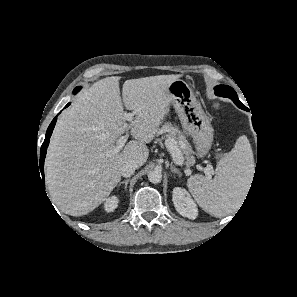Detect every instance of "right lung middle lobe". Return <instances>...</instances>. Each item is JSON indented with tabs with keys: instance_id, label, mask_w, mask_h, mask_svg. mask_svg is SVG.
I'll list each match as a JSON object with an SVG mask.
<instances>
[{
	"instance_id": "obj_1",
	"label": "right lung middle lobe",
	"mask_w": 297,
	"mask_h": 297,
	"mask_svg": "<svg viewBox=\"0 0 297 297\" xmlns=\"http://www.w3.org/2000/svg\"><path fill=\"white\" fill-rule=\"evenodd\" d=\"M80 90V87L75 88L74 93L78 92Z\"/></svg>"
}]
</instances>
